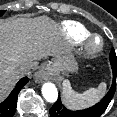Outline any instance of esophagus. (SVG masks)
<instances>
[{
  "label": "esophagus",
  "mask_w": 117,
  "mask_h": 117,
  "mask_svg": "<svg viewBox=\"0 0 117 117\" xmlns=\"http://www.w3.org/2000/svg\"><path fill=\"white\" fill-rule=\"evenodd\" d=\"M51 75V69L47 66H43L39 71L35 74V79L37 81H43L49 79Z\"/></svg>",
  "instance_id": "esophagus-1"
}]
</instances>
